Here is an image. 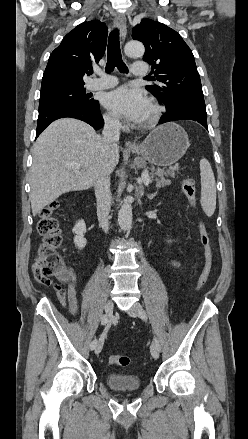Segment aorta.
<instances>
[{
  "mask_svg": "<svg viewBox=\"0 0 248 439\" xmlns=\"http://www.w3.org/2000/svg\"><path fill=\"white\" fill-rule=\"evenodd\" d=\"M125 54L129 57L142 56L144 46L139 41H130L125 45ZM132 198L127 196L123 199L121 208L118 212V224L123 231H127L132 225Z\"/></svg>",
  "mask_w": 248,
  "mask_h": 439,
  "instance_id": "1",
  "label": "aorta"
}]
</instances>
